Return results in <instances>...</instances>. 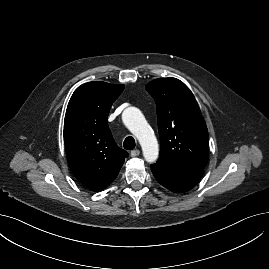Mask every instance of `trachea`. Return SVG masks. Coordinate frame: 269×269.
<instances>
[{
    "label": "trachea",
    "instance_id": "3493384b",
    "mask_svg": "<svg viewBox=\"0 0 269 269\" xmlns=\"http://www.w3.org/2000/svg\"><path fill=\"white\" fill-rule=\"evenodd\" d=\"M123 147L126 150H133L135 148V139L131 136L126 137L123 142Z\"/></svg>",
    "mask_w": 269,
    "mask_h": 269
}]
</instances>
